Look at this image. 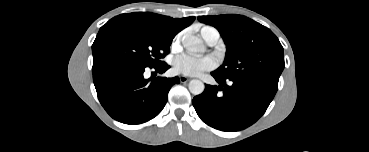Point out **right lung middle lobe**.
<instances>
[{
	"instance_id": "1",
	"label": "right lung middle lobe",
	"mask_w": 369,
	"mask_h": 152,
	"mask_svg": "<svg viewBox=\"0 0 369 152\" xmlns=\"http://www.w3.org/2000/svg\"><path fill=\"white\" fill-rule=\"evenodd\" d=\"M172 39L116 16L100 28L92 45V72L116 64L160 65L161 59L170 52Z\"/></svg>"
}]
</instances>
